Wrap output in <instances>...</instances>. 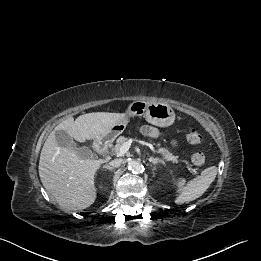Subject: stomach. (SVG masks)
Instances as JSON below:
<instances>
[{
	"label": "stomach",
	"instance_id": "1",
	"mask_svg": "<svg viewBox=\"0 0 261 261\" xmlns=\"http://www.w3.org/2000/svg\"><path fill=\"white\" fill-rule=\"evenodd\" d=\"M144 116L150 124L167 127L174 123L175 112L168 104L137 100L132 102L127 109L126 117ZM128 119L124 118L112 126L110 133L104 138L112 141L126 128Z\"/></svg>",
	"mask_w": 261,
	"mask_h": 261
}]
</instances>
